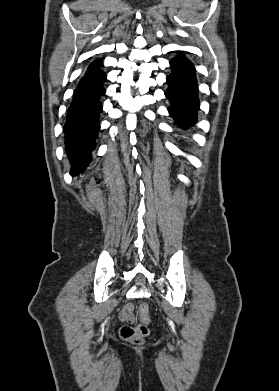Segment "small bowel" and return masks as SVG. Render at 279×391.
Returning a JSON list of instances; mask_svg holds the SVG:
<instances>
[{"label":"small bowel","instance_id":"c3829d8e","mask_svg":"<svg viewBox=\"0 0 279 391\" xmlns=\"http://www.w3.org/2000/svg\"><path fill=\"white\" fill-rule=\"evenodd\" d=\"M119 318L123 322L133 323L135 321L133 306L131 304H126L121 310Z\"/></svg>","mask_w":279,"mask_h":391}]
</instances>
